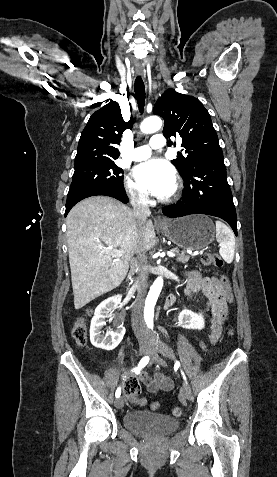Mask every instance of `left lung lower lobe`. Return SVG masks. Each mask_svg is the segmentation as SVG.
<instances>
[{"label": "left lung lower lobe", "mask_w": 277, "mask_h": 477, "mask_svg": "<svg viewBox=\"0 0 277 477\" xmlns=\"http://www.w3.org/2000/svg\"><path fill=\"white\" fill-rule=\"evenodd\" d=\"M182 200L163 209L170 218L190 214H208L222 218L237 235V218L232 193L227 182L223 155L206 157L195 163L183 176Z\"/></svg>", "instance_id": "obj_1"}]
</instances>
